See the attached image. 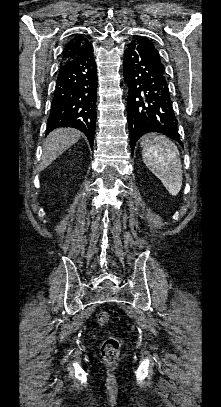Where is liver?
Wrapping results in <instances>:
<instances>
[{
	"label": "liver",
	"instance_id": "6515ba94",
	"mask_svg": "<svg viewBox=\"0 0 221 407\" xmlns=\"http://www.w3.org/2000/svg\"><path fill=\"white\" fill-rule=\"evenodd\" d=\"M81 137V132L73 128H58L48 134L43 143V153L39 170H44L63 152L74 145Z\"/></svg>",
	"mask_w": 221,
	"mask_h": 407
}]
</instances>
